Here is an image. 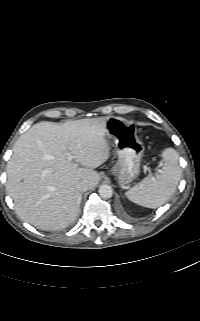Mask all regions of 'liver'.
Listing matches in <instances>:
<instances>
[{
    "instance_id": "1",
    "label": "liver",
    "mask_w": 200,
    "mask_h": 321,
    "mask_svg": "<svg viewBox=\"0 0 200 321\" xmlns=\"http://www.w3.org/2000/svg\"><path fill=\"white\" fill-rule=\"evenodd\" d=\"M107 119L61 125L44 121L18 138L7 165L6 188L22 220L41 230H57L77 218L82 192L76 184L87 180L88 189L94 188L100 180L94 169L110 156Z\"/></svg>"
}]
</instances>
